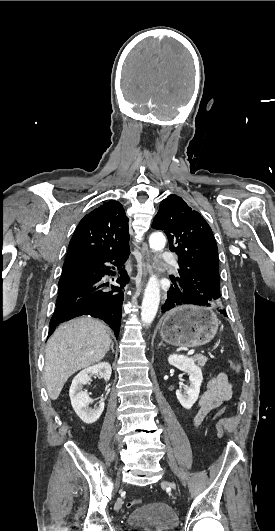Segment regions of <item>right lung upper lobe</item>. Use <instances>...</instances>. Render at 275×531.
Returning a JSON list of instances; mask_svg holds the SVG:
<instances>
[{
  "instance_id": "right-lung-upper-lobe-1",
  "label": "right lung upper lobe",
  "mask_w": 275,
  "mask_h": 531,
  "mask_svg": "<svg viewBox=\"0 0 275 531\" xmlns=\"http://www.w3.org/2000/svg\"><path fill=\"white\" fill-rule=\"evenodd\" d=\"M128 218L123 206L105 202L83 217L68 247L66 260L97 256L128 246Z\"/></svg>"
}]
</instances>
